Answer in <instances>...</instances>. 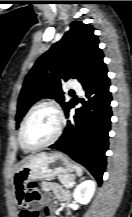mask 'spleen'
Here are the masks:
<instances>
[{"label": "spleen", "instance_id": "obj_1", "mask_svg": "<svg viewBox=\"0 0 132 217\" xmlns=\"http://www.w3.org/2000/svg\"><path fill=\"white\" fill-rule=\"evenodd\" d=\"M74 168L78 176H81L83 174V169L80 166L74 165Z\"/></svg>", "mask_w": 132, "mask_h": 217}]
</instances>
